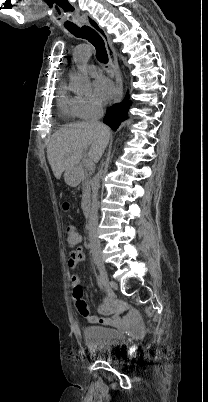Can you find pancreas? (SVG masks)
Here are the masks:
<instances>
[{
    "instance_id": "obj_1",
    "label": "pancreas",
    "mask_w": 208,
    "mask_h": 402,
    "mask_svg": "<svg viewBox=\"0 0 208 402\" xmlns=\"http://www.w3.org/2000/svg\"><path fill=\"white\" fill-rule=\"evenodd\" d=\"M79 176H81L82 180V190H83V194H91V176H92V172H90V170H81Z\"/></svg>"
}]
</instances>
